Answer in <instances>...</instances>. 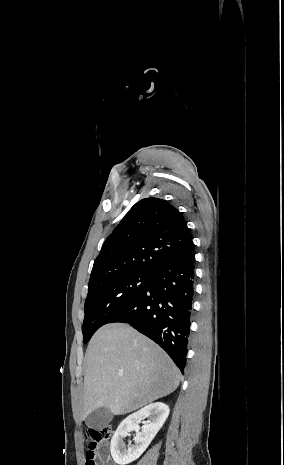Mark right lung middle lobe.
Segmentation results:
<instances>
[{
    "label": "right lung middle lobe",
    "instance_id": "obj_1",
    "mask_svg": "<svg viewBox=\"0 0 284 465\" xmlns=\"http://www.w3.org/2000/svg\"><path fill=\"white\" fill-rule=\"evenodd\" d=\"M151 277L147 274H127L89 287L82 325L84 343L90 340L98 328L125 308L145 288Z\"/></svg>",
    "mask_w": 284,
    "mask_h": 465
}]
</instances>
